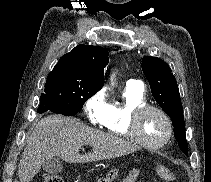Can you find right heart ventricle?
I'll list each match as a JSON object with an SVG mask.
<instances>
[{
  "label": "right heart ventricle",
  "mask_w": 211,
  "mask_h": 182,
  "mask_svg": "<svg viewBox=\"0 0 211 182\" xmlns=\"http://www.w3.org/2000/svg\"><path fill=\"white\" fill-rule=\"evenodd\" d=\"M146 103L143 90L126 86L123 101L109 105L108 114L102 123L109 133L127 139H133L129 131V119L134 107Z\"/></svg>",
  "instance_id": "obj_1"
}]
</instances>
